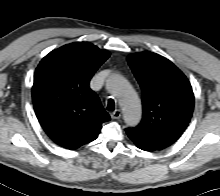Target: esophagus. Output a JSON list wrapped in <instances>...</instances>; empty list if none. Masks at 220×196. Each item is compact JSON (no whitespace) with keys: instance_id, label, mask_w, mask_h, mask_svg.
<instances>
[{"instance_id":"obj_1","label":"esophagus","mask_w":220,"mask_h":196,"mask_svg":"<svg viewBox=\"0 0 220 196\" xmlns=\"http://www.w3.org/2000/svg\"><path fill=\"white\" fill-rule=\"evenodd\" d=\"M110 116L112 119H119L121 117V110H115Z\"/></svg>"}]
</instances>
